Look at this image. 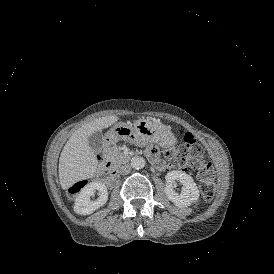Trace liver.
<instances>
[{"instance_id":"obj_1","label":"liver","mask_w":274,"mask_h":274,"mask_svg":"<svg viewBox=\"0 0 274 274\" xmlns=\"http://www.w3.org/2000/svg\"><path fill=\"white\" fill-rule=\"evenodd\" d=\"M117 120L115 116L95 119L76 130L64 146L59 159V179L62 189L91 178L97 167V159L88 144L89 136L106 128Z\"/></svg>"}]
</instances>
